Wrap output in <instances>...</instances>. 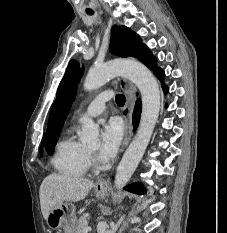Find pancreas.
Here are the masks:
<instances>
[{
	"label": "pancreas",
	"mask_w": 227,
	"mask_h": 233,
	"mask_svg": "<svg viewBox=\"0 0 227 233\" xmlns=\"http://www.w3.org/2000/svg\"><path fill=\"white\" fill-rule=\"evenodd\" d=\"M88 225L87 217L82 215L76 222V232L75 233H85L84 230Z\"/></svg>",
	"instance_id": "obj_1"
}]
</instances>
